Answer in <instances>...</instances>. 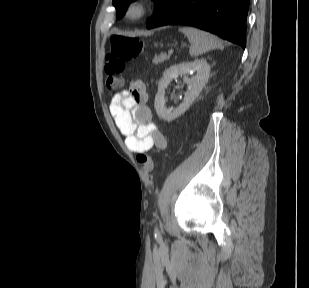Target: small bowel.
<instances>
[{
    "label": "small bowel",
    "mask_w": 309,
    "mask_h": 288,
    "mask_svg": "<svg viewBox=\"0 0 309 288\" xmlns=\"http://www.w3.org/2000/svg\"><path fill=\"white\" fill-rule=\"evenodd\" d=\"M148 96L142 82H134L130 89L115 94L110 102V113L129 151L148 152L164 149L166 138L152 119L147 104Z\"/></svg>",
    "instance_id": "c3829d8e"
}]
</instances>
